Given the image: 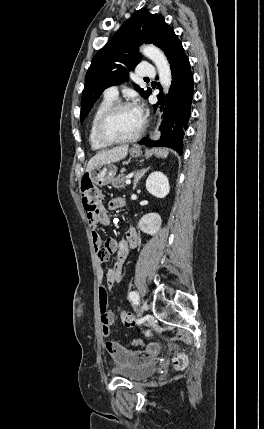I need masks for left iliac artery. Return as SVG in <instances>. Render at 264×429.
<instances>
[{
  "label": "left iliac artery",
  "mask_w": 264,
  "mask_h": 429,
  "mask_svg": "<svg viewBox=\"0 0 264 429\" xmlns=\"http://www.w3.org/2000/svg\"><path fill=\"white\" fill-rule=\"evenodd\" d=\"M134 292H135V291H131V292L129 293L128 297H129V299H130V300H132Z\"/></svg>",
  "instance_id": "44dca946"
}]
</instances>
